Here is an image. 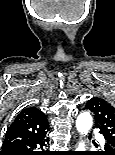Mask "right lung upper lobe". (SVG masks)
<instances>
[{"label":"right lung upper lobe","instance_id":"right-lung-upper-lobe-1","mask_svg":"<svg viewBox=\"0 0 115 155\" xmlns=\"http://www.w3.org/2000/svg\"><path fill=\"white\" fill-rule=\"evenodd\" d=\"M49 131V123L44 113L35 107L23 109L6 132L2 149L44 136Z\"/></svg>","mask_w":115,"mask_h":155}]
</instances>
